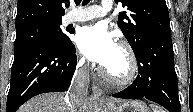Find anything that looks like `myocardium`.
<instances>
[{"label":"myocardium","mask_w":193,"mask_h":112,"mask_svg":"<svg viewBox=\"0 0 193 112\" xmlns=\"http://www.w3.org/2000/svg\"><path fill=\"white\" fill-rule=\"evenodd\" d=\"M118 46L122 48L127 55L128 70L126 74L122 77H116L111 75L104 67L100 69V73L103 76V78L110 84L118 87H126L131 85L137 77L138 62L133 48L127 41L120 40L118 42Z\"/></svg>","instance_id":"myocardium-1"}]
</instances>
